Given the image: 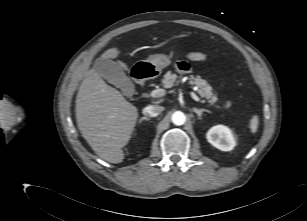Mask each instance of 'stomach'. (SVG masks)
I'll use <instances>...</instances> for the list:
<instances>
[{
  "label": "stomach",
  "instance_id": "stomach-1",
  "mask_svg": "<svg viewBox=\"0 0 307 221\" xmlns=\"http://www.w3.org/2000/svg\"><path fill=\"white\" fill-rule=\"evenodd\" d=\"M172 62V56L167 54H154L146 60H140L135 64L136 68H144V77H156L162 69L169 66Z\"/></svg>",
  "mask_w": 307,
  "mask_h": 221
}]
</instances>
